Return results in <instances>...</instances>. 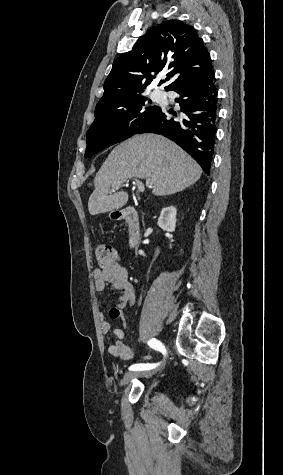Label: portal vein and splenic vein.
Masks as SVG:
<instances>
[{
  "mask_svg": "<svg viewBox=\"0 0 283 475\" xmlns=\"http://www.w3.org/2000/svg\"><path fill=\"white\" fill-rule=\"evenodd\" d=\"M134 184H137L139 192H144V186L142 182H139V180H135ZM146 186H152L151 180H147ZM119 188V186H117Z\"/></svg>",
  "mask_w": 283,
  "mask_h": 475,
  "instance_id": "portal-vein-and-splenic-vein-1",
  "label": "portal vein and splenic vein"
}]
</instances>
